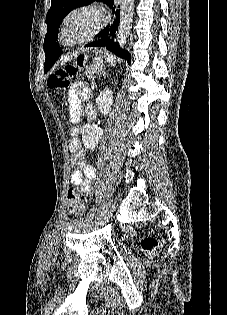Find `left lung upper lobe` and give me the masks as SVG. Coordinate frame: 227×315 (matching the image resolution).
Segmentation results:
<instances>
[{
    "label": "left lung upper lobe",
    "mask_w": 227,
    "mask_h": 315,
    "mask_svg": "<svg viewBox=\"0 0 227 315\" xmlns=\"http://www.w3.org/2000/svg\"><path fill=\"white\" fill-rule=\"evenodd\" d=\"M95 0H51V7L47 13L46 23L48 32L44 39V48L50 43L56 42L58 27L60 26L63 18L74 8L86 6ZM108 3L109 0H102ZM45 71V70H44Z\"/></svg>",
    "instance_id": "1"
}]
</instances>
